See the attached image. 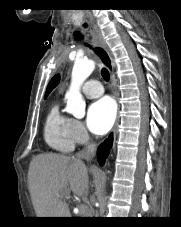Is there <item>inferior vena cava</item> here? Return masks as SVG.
Returning a JSON list of instances; mask_svg holds the SVG:
<instances>
[{
  "instance_id": "1",
  "label": "inferior vena cava",
  "mask_w": 181,
  "mask_h": 227,
  "mask_svg": "<svg viewBox=\"0 0 181 227\" xmlns=\"http://www.w3.org/2000/svg\"><path fill=\"white\" fill-rule=\"evenodd\" d=\"M95 151H96V144L93 143V142H90L86 147H84L78 153V157L81 158V159H85L87 161H90L94 157Z\"/></svg>"
}]
</instances>
